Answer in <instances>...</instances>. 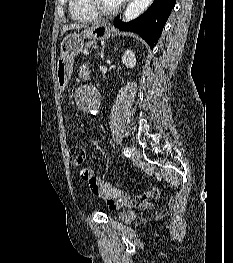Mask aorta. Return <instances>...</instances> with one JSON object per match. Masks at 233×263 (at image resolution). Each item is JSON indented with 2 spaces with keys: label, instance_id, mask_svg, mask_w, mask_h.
Listing matches in <instances>:
<instances>
[{
  "label": "aorta",
  "instance_id": "1",
  "mask_svg": "<svg viewBox=\"0 0 233 263\" xmlns=\"http://www.w3.org/2000/svg\"><path fill=\"white\" fill-rule=\"evenodd\" d=\"M153 0H132L124 12V20L131 21L140 16L151 4ZM99 104V92L92 85L85 86L79 97V106L87 112L94 113Z\"/></svg>",
  "mask_w": 233,
  "mask_h": 263
}]
</instances>
